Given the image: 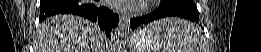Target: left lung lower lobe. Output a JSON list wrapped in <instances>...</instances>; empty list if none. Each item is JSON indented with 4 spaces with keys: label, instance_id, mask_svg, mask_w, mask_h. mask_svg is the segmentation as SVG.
Returning a JSON list of instances; mask_svg holds the SVG:
<instances>
[{
    "label": "left lung lower lobe",
    "instance_id": "0a47b994",
    "mask_svg": "<svg viewBox=\"0 0 261 52\" xmlns=\"http://www.w3.org/2000/svg\"><path fill=\"white\" fill-rule=\"evenodd\" d=\"M169 16H177L192 20L193 22H198V11L185 6V5H162L155 12L142 16L133 18L130 21V27L132 29L137 28L140 25L150 23L154 20H158L160 18L169 17Z\"/></svg>",
    "mask_w": 261,
    "mask_h": 52
}]
</instances>
